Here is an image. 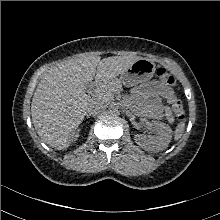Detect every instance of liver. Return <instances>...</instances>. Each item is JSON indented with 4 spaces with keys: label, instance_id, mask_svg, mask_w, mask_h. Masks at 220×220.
I'll list each match as a JSON object with an SVG mask.
<instances>
[{
    "label": "liver",
    "instance_id": "obj_1",
    "mask_svg": "<svg viewBox=\"0 0 220 220\" xmlns=\"http://www.w3.org/2000/svg\"><path fill=\"white\" fill-rule=\"evenodd\" d=\"M138 56L85 55L53 66L40 80L31 104L32 121L40 138L63 150L95 100L86 94V85L95 79L98 94L118 91L123 74Z\"/></svg>",
    "mask_w": 220,
    "mask_h": 220
}]
</instances>
